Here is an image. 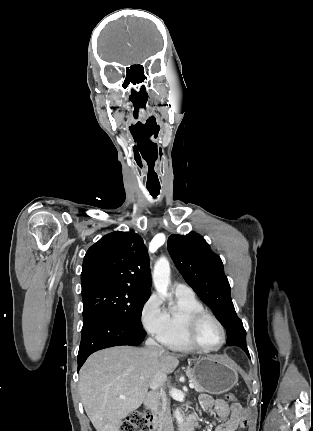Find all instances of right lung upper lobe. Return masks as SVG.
Returning <instances> with one entry per match:
<instances>
[{"label": "right lung upper lobe", "mask_w": 313, "mask_h": 431, "mask_svg": "<svg viewBox=\"0 0 313 431\" xmlns=\"http://www.w3.org/2000/svg\"><path fill=\"white\" fill-rule=\"evenodd\" d=\"M81 284L82 297L115 287L150 294L149 258L141 236L121 231L103 236L86 252Z\"/></svg>", "instance_id": "1"}]
</instances>
